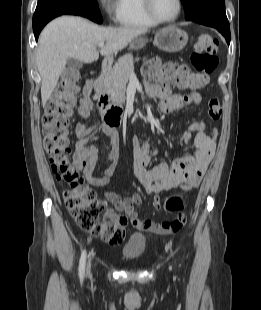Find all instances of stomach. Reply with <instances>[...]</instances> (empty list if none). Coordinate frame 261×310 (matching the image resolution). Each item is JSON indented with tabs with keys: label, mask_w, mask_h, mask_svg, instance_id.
Listing matches in <instances>:
<instances>
[{
	"label": "stomach",
	"mask_w": 261,
	"mask_h": 310,
	"mask_svg": "<svg viewBox=\"0 0 261 310\" xmlns=\"http://www.w3.org/2000/svg\"><path fill=\"white\" fill-rule=\"evenodd\" d=\"M188 42V34L174 26H168L155 34L154 45L167 52H177L182 50ZM146 40L139 36L130 43L131 49H140Z\"/></svg>",
	"instance_id": "0dacf381"
}]
</instances>
